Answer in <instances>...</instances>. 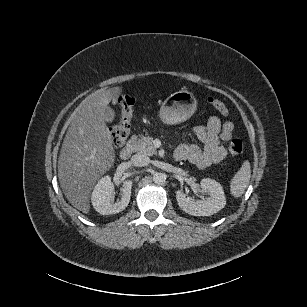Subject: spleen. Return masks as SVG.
I'll return each instance as SVG.
<instances>
[{
  "instance_id": "obj_1",
  "label": "spleen",
  "mask_w": 307,
  "mask_h": 307,
  "mask_svg": "<svg viewBox=\"0 0 307 307\" xmlns=\"http://www.w3.org/2000/svg\"><path fill=\"white\" fill-rule=\"evenodd\" d=\"M250 174V165L248 162H245L231 182V192L235 197H239L244 193L250 179Z\"/></svg>"
}]
</instances>
